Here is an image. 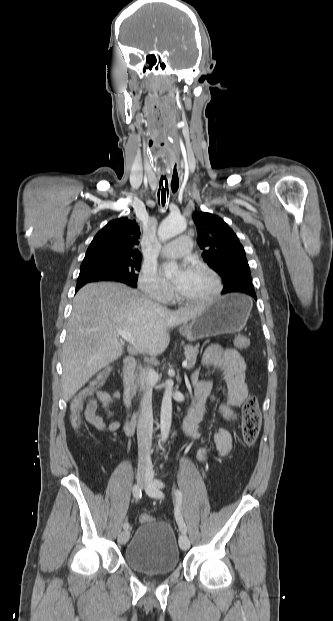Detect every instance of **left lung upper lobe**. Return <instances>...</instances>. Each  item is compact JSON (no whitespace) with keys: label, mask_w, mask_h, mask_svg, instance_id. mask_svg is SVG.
<instances>
[{"label":"left lung upper lobe","mask_w":333,"mask_h":621,"mask_svg":"<svg viewBox=\"0 0 333 621\" xmlns=\"http://www.w3.org/2000/svg\"><path fill=\"white\" fill-rule=\"evenodd\" d=\"M203 259L223 281L222 294L254 290L245 251L232 229L217 215L194 212Z\"/></svg>","instance_id":"obj_1"}]
</instances>
